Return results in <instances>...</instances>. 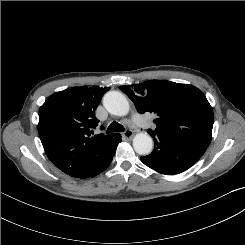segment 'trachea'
I'll use <instances>...</instances> for the list:
<instances>
[{
	"mask_svg": "<svg viewBox=\"0 0 245 245\" xmlns=\"http://www.w3.org/2000/svg\"><path fill=\"white\" fill-rule=\"evenodd\" d=\"M124 130L125 128L123 127V125L114 121L108 126L106 133L123 132Z\"/></svg>",
	"mask_w": 245,
	"mask_h": 245,
	"instance_id": "3493384b",
	"label": "trachea"
}]
</instances>
